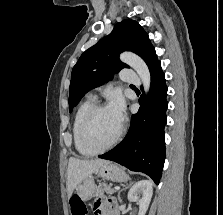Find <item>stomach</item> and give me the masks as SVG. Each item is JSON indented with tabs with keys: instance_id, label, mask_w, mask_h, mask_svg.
<instances>
[{
	"instance_id": "0dacf381",
	"label": "stomach",
	"mask_w": 223,
	"mask_h": 215,
	"mask_svg": "<svg viewBox=\"0 0 223 215\" xmlns=\"http://www.w3.org/2000/svg\"><path fill=\"white\" fill-rule=\"evenodd\" d=\"M98 177H102V179H110V181H127V175L121 167L118 165H114L111 161L108 163H104L101 165L97 171H95ZM94 177L93 175H89L86 179H83L81 183H79L75 193H80L79 201H87L92 197V189H94Z\"/></svg>"
}]
</instances>
